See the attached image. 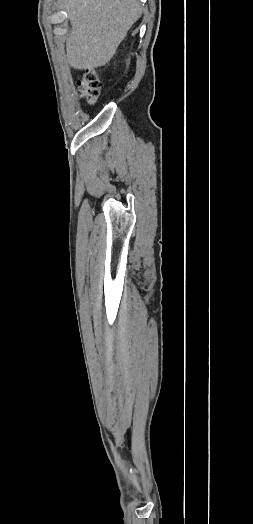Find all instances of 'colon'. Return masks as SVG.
<instances>
[{
  "instance_id": "obj_1",
  "label": "colon",
  "mask_w": 253,
  "mask_h": 524,
  "mask_svg": "<svg viewBox=\"0 0 253 524\" xmlns=\"http://www.w3.org/2000/svg\"><path fill=\"white\" fill-rule=\"evenodd\" d=\"M78 93L89 104H94L101 92V82L98 73L93 69H86L77 81Z\"/></svg>"
}]
</instances>
